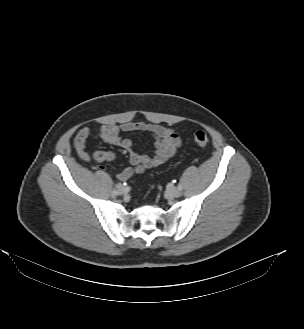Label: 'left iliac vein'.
Returning a JSON list of instances; mask_svg holds the SVG:
<instances>
[{
    "instance_id": "obj_1",
    "label": "left iliac vein",
    "mask_w": 304,
    "mask_h": 329,
    "mask_svg": "<svg viewBox=\"0 0 304 329\" xmlns=\"http://www.w3.org/2000/svg\"><path fill=\"white\" fill-rule=\"evenodd\" d=\"M168 192L172 197L181 196V191L177 187L170 188Z\"/></svg>"
}]
</instances>
